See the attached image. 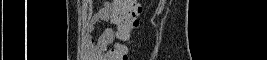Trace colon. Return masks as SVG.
Returning <instances> with one entry per match:
<instances>
[{
	"mask_svg": "<svg viewBox=\"0 0 267 60\" xmlns=\"http://www.w3.org/2000/svg\"><path fill=\"white\" fill-rule=\"evenodd\" d=\"M139 5L136 0H117L110 13V19L117 28L116 36L120 41H127L130 34L137 29ZM114 60H128V52L119 44L110 52Z\"/></svg>",
	"mask_w": 267,
	"mask_h": 60,
	"instance_id": "1",
	"label": "colon"
}]
</instances>
